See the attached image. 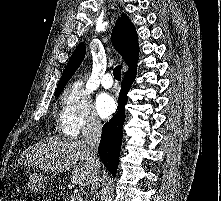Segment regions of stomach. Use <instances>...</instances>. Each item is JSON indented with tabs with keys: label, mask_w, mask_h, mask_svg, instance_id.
<instances>
[{
	"label": "stomach",
	"mask_w": 221,
	"mask_h": 201,
	"mask_svg": "<svg viewBox=\"0 0 221 201\" xmlns=\"http://www.w3.org/2000/svg\"><path fill=\"white\" fill-rule=\"evenodd\" d=\"M47 184L46 179L39 173H32L29 176L28 187L30 191L40 193Z\"/></svg>",
	"instance_id": "obj_1"
}]
</instances>
